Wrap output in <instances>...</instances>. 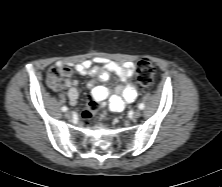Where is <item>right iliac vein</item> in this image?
<instances>
[{"label": "right iliac vein", "instance_id": "1", "mask_svg": "<svg viewBox=\"0 0 222 187\" xmlns=\"http://www.w3.org/2000/svg\"><path fill=\"white\" fill-rule=\"evenodd\" d=\"M65 117L68 118V119L71 118V113H70L69 111H67V112L65 113Z\"/></svg>", "mask_w": 222, "mask_h": 187}]
</instances>
